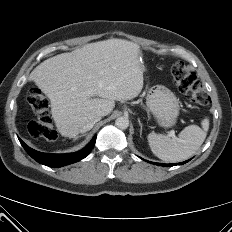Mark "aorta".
<instances>
[{"label":"aorta","mask_w":232,"mask_h":232,"mask_svg":"<svg viewBox=\"0 0 232 232\" xmlns=\"http://www.w3.org/2000/svg\"><path fill=\"white\" fill-rule=\"evenodd\" d=\"M115 125L120 129H126L129 126V120H128V118L123 117V116L118 117L115 120Z\"/></svg>","instance_id":"aorta-1"}]
</instances>
